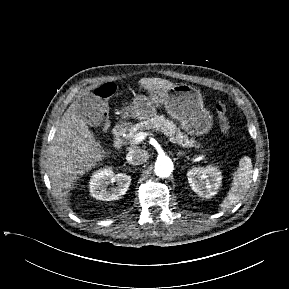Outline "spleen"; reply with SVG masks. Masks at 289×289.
Segmentation results:
<instances>
[{"label": "spleen", "instance_id": "spleen-1", "mask_svg": "<svg viewBox=\"0 0 289 289\" xmlns=\"http://www.w3.org/2000/svg\"><path fill=\"white\" fill-rule=\"evenodd\" d=\"M252 167L249 157H244L240 160L239 167L234 173L228 195L220 205L223 211L235 206L246 195L252 182Z\"/></svg>", "mask_w": 289, "mask_h": 289}]
</instances>
